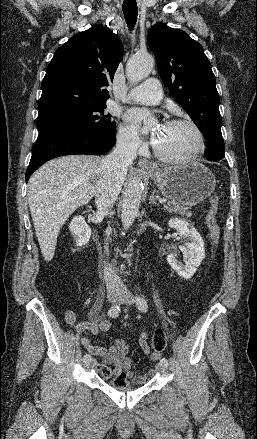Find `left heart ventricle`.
<instances>
[{"label":"left heart ventricle","mask_w":257,"mask_h":439,"mask_svg":"<svg viewBox=\"0 0 257 439\" xmlns=\"http://www.w3.org/2000/svg\"><path fill=\"white\" fill-rule=\"evenodd\" d=\"M156 130L155 142L166 154L186 155L198 146L196 134L188 125H163Z\"/></svg>","instance_id":"b2bd125f"}]
</instances>
